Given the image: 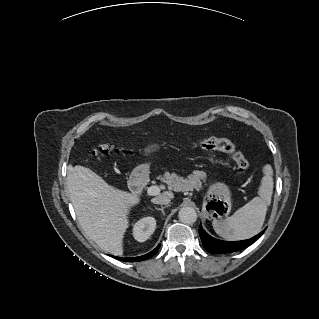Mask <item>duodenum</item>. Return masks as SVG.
I'll use <instances>...</instances> for the list:
<instances>
[{
  "instance_id": "1",
  "label": "duodenum",
  "mask_w": 319,
  "mask_h": 319,
  "mask_svg": "<svg viewBox=\"0 0 319 319\" xmlns=\"http://www.w3.org/2000/svg\"><path fill=\"white\" fill-rule=\"evenodd\" d=\"M142 190H143L142 187H137V188L135 189L136 192H139V191H142Z\"/></svg>"
}]
</instances>
